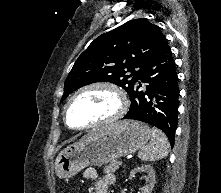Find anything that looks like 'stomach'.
<instances>
[{"instance_id":"obj_1","label":"stomach","mask_w":221,"mask_h":193,"mask_svg":"<svg viewBox=\"0 0 221 193\" xmlns=\"http://www.w3.org/2000/svg\"><path fill=\"white\" fill-rule=\"evenodd\" d=\"M145 123L126 120L90 132L55 159L57 176L70 178L88 166H102L142 148L150 139Z\"/></svg>"}]
</instances>
